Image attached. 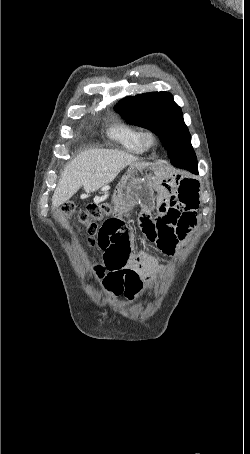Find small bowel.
<instances>
[{"label": "small bowel", "instance_id": "small-bowel-1", "mask_svg": "<svg viewBox=\"0 0 250 454\" xmlns=\"http://www.w3.org/2000/svg\"><path fill=\"white\" fill-rule=\"evenodd\" d=\"M115 195L129 206L142 208L139 221L144 235L168 255L175 253L178 242L197 222L199 183L195 178L129 172L117 184ZM97 243L102 262L93 267L94 275L116 295L134 298L163 269L153 256L134 252V234L122 217L103 222Z\"/></svg>", "mask_w": 250, "mask_h": 454}]
</instances>
